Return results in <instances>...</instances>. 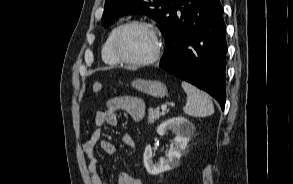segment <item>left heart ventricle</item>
<instances>
[{"instance_id":"1","label":"left heart ventricle","mask_w":293,"mask_h":184,"mask_svg":"<svg viewBox=\"0 0 293 184\" xmlns=\"http://www.w3.org/2000/svg\"><path fill=\"white\" fill-rule=\"evenodd\" d=\"M155 48L152 34L144 27L127 28L119 37L118 49L122 55L130 59L149 57Z\"/></svg>"}]
</instances>
